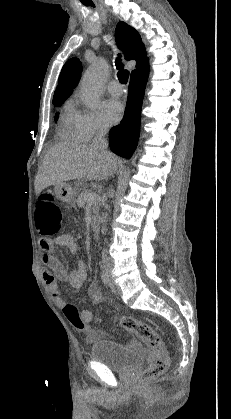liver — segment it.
<instances>
[{
    "mask_svg": "<svg viewBox=\"0 0 231 419\" xmlns=\"http://www.w3.org/2000/svg\"><path fill=\"white\" fill-rule=\"evenodd\" d=\"M117 169V159H108L90 145L62 142L54 145L44 157L35 178L38 195L51 185L69 180L102 181Z\"/></svg>",
    "mask_w": 231,
    "mask_h": 419,
    "instance_id": "6515ba94",
    "label": "liver"
}]
</instances>
